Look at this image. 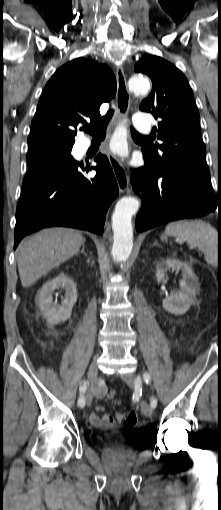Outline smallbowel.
I'll return each instance as SVG.
<instances>
[{"label": "small bowel", "instance_id": "1", "mask_svg": "<svg viewBox=\"0 0 221 510\" xmlns=\"http://www.w3.org/2000/svg\"><path fill=\"white\" fill-rule=\"evenodd\" d=\"M102 389H98V394L102 395ZM125 417V412H118L115 415L105 413L104 406L97 405L89 415L90 423L103 430H111L121 424Z\"/></svg>", "mask_w": 221, "mask_h": 510}]
</instances>
